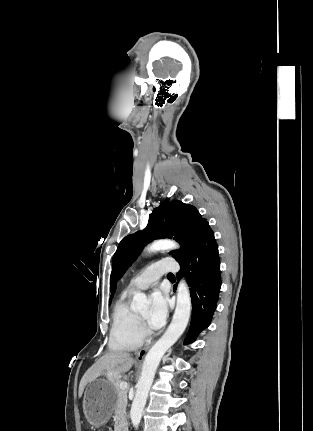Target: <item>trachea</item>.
Returning a JSON list of instances; mask_svg holds the SVG:
<instances>
[{
	"mask_svg": "<svg viewBox=\"0 0 313 431\" xmlns=\"http://www.w3.org/2000/svg\"><path fill=\"white\" fill-rule=\"evenodd\" d=\"M168 276H173V275L171 273H169Z\"/></svg>",
	"mask_w": 313,
	"mask_h": 431,
	"instance_id": "1",
	"label": "trachea"
}]
</instances>
